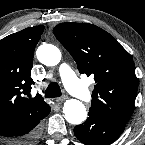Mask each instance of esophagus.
<instances>
[{"instance_id":"1","label":"esophagus","mask_w":145,"mask_h":145,"mask_svg":"<svg viewBox=\"0 0 145 145\" xmlns=\"http://www.w3.org/2000/svg\"><path fill=\"white\" fill-rule=\"evenodd\" d=\"M66 99H67V96H62V97H58V98L56 99V101H57L58 103H62V102H64Z\"/></svg>"}]
</instances>
